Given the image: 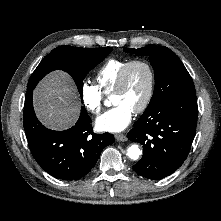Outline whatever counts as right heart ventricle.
I'll return each mask as SVG.
<instances>
[{
  "mask_svg": "<svg viewBox=\"0 0 221 221\" xmlns=\"http://www.w3.org/2000/svg\"><path fill=\"white\" fill-rule=\"evenodd\" d=\"M128 62V59L112 58L99 69L96 81L103 94L110 95L113 93L121 70Z\"/></svg>",
  "mask_w": 221,
  "mask_h": 221,
  "instance_id": "right-heart-ventricle-1",
  "label": "right heart ventricle"
}]
</instances>
